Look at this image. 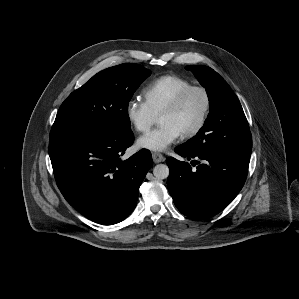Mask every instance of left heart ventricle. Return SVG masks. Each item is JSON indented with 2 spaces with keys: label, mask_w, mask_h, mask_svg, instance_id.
<instances>
[{
  "label": "left heart ventricle",
  "mask_w": 299,
  "mask_h": 299,
  "mask_svg": "<svg viewBox=\"0 0 299 299\" xmlns=\"http://www.w3.org/2000/svg\"><path fill=\"white\" fill-rule=\"evenodd\" d=\"M204 108V99L199 92L192 93L179 110L173 113L162 114L159 123L172 124L181 133L192 128L199 120Z\"/></svg>",
  "instance_id": "1"
}]
</instances>
